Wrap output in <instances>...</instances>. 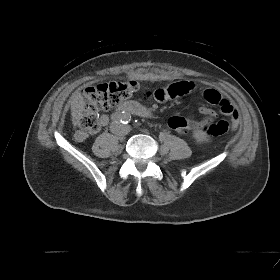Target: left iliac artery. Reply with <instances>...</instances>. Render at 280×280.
<instances>
[{"instance_id": "left-iliac-artery-1", "label": "left iliac artery", "mask_w": 280, "mask_h": 280, "mask_svg": "<svg viewBox=\"0 0 280 280\" xmlns=\"http://www.w3.org/2000/svg\"><path fill=\"white\" fill-rule=\"evenodd\" d=\"M122 118L124 123H128L131 120V116L128 113H124Z\"/></svg>"}]
</instances>
